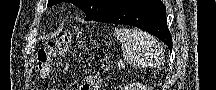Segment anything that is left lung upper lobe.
I'll return each instance as SVG.
<instances>
[{
  "instance_id": "1",
  "label": "left lung upper lobe",
  "mask_w": 216,
  "mask_h": 90,
  "mask_svg": "<svg viewBox=\"0 0 216 90\" xmlns=\"http://www.w3.org/2000/svg\"><path fill=\"white\" fill-rule=\"evenodd\" d=\"M126 0H49L48 6L61 2H72L86 14L85 20L91 21L106 11L122 5Z\"/></svg>"
}]
</instances>
